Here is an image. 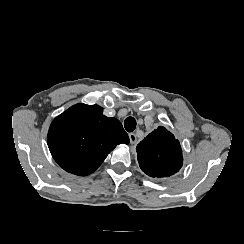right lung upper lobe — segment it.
Instances as JSON below:
<instances>
[{
  "mask_svg": "<svg viewBox=\"0 0 244 244\" xmlns=\"http://www.w3.org/2000/svg\"><path fill=\"white\" fill-rule=\"evenodd\" d=\"M47 142L54 160L65 171L86 176L129 137L121 122L103 115L98 105L76 104L56 117Z\"/></svg>",
  "mask_w": 244,
  "mask_h": 244,
  "instance_id": "1",
  "label": "right lung upper lobe"
}]
</instances>
